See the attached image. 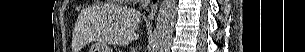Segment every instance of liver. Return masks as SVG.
Instances as JSON below:
<instances>
[{"mask_svg":"<svg viewBox=\"0 0 305 52\" xmlns=\"http://www.w3.org/2000/svg\"><path fill=\"white\" fill-rule=\"evenodd\" d=\"M85 34L88 40L112 45H128L138 38L141 13L121 5H107L85 13Z\"/></svg>","mask_w":305,"mask_h":52,"instance_id":"6515ba94","label":"liver"}]
</instances>
